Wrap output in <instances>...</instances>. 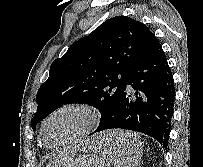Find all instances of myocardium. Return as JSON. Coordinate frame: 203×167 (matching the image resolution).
Segmentation results:
<instances>
[{
	"label": "myocardium",
	"mask_w": 203,
	"mask_h": 167,
	"mask_svg": "<svg viewBox=\"0 0 203 167\" xmlns=\"http://www.w3.org/2000/svg\"><path fill=\"white\" fill-rule=\"evenodd\" d=\"M73 111L80 113L83 118V124L82 126L77 129L75 132H73L68 137L64 138L63 140L54 143V144H47L44 140V132L46 125L56 116H58L61 113ZM99 122V116L97 112L91 108L88 105L81 104V103H68L61 105L57 108H55L53 111H51L41 122L40 128H39V137L40 141L44 146L48 147H60L63 145H66L68 143H71L73 141H76L86 135H88L90 132L94 130V128L97 126Z\"/></svg>",
	"instance_id": "obj_1"
}]
</instances>
